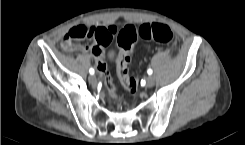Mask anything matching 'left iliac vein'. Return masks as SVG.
<instances>
[{
    "instance_id": "left-iliac-vein-1",
    "label": "left iliac vein",
    "mask_w": 245,
    "mask_h": 145,
    "mask_svg": "<svg viewBox=\"0 0 245 145\" xmlns=\"http://www.w3.org/2000/svg\"><path fill=\"white\" fill-rule=\"evenodd\" d=\"M155 85V78L152 76H149L146 80V86L147 87H152Z\"/></svg>"
}]
</instances>
